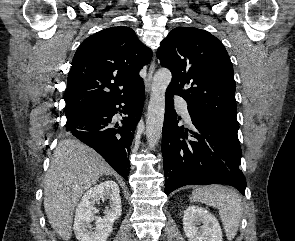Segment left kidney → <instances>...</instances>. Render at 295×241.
Returning a JSON list of instances; mask_svg holds the SVG:
<instances>
[{"label":"left kidney","instance_id":"obj_1","mask_svg":"<svg viewBox=\"0 0 295 241\" xmlns=\"http://www.w3.org/2000/svg\"><path fill=\"white\" fill-rule=\"evenodd\" d=\"M183 229L189 241H222L216 217L199 206H189L183 216Z\"/></svg>","mask_w":295,"mask_h":241}]
</instances>
